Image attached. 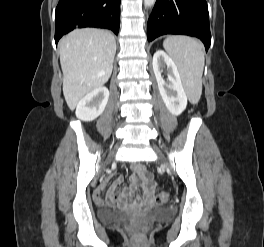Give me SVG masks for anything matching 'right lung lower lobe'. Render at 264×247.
<instances>
[{
  "mask_svg": "<svg viewBox=\"0 0 264 247\" xmlns=\"http://www.w3.org/2000/svg\"><path fill=\"white\" fill-rule=\"evenodd\" d=\"M120 25V0H59L55 12V42L75 28L112 30Z\"/></svg>",
  "mask_w": 264,
  "mask_h": 247,
  "instance_id": "98d812e1",
  "label": "right lung lower lobe"
}]
</instances>
